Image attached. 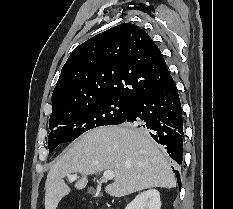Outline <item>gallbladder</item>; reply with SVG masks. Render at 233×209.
<instances>
[{
  "label": "gallbladder",
  "instance_id": "bac80fb5",
  "mask_svg": "<svg viewBox=\"0 0 233 209\" xmlns=\"http://www.w3.org/2000/svg\"><path fill=\"white\" fill-rule=\"evenodd\" d=\"M88 192L91 193V194H94V193H95V190H94L93 188H90V189L88 190Z\"/></svg>",
  "mask_w": 233,
  "mask_h": 209
}]
</instances>
